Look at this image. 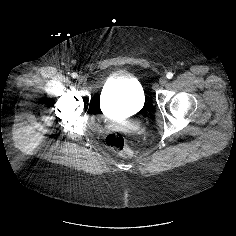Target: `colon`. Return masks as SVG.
Wrapping results in <instances>:
<instances>
[{
  "mask_svg": "<svg viewBox=\"0 0 236 236\" xmlns=\"http://www.w3.org/2000/svg\"><path fill=\"white\" fill-rule=\"evenodd\" d=\"M106 145L114 152L123 156H132L133 151L127 146L126 140L121 133L113 132L106 136Z\"/></svg>",
  "mask_w": 236,
  "mask_h": 236,
  "instance_id": "colon-1",
  "label": "colon"
}]
</instances>
